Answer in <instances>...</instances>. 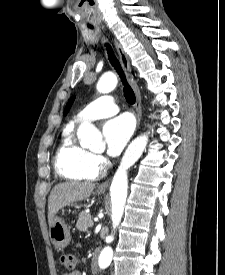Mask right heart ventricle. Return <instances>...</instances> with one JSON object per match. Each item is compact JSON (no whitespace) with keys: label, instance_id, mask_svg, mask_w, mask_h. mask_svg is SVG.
I'll return each instance as SVG.
<instances>
[{"label":"right heart ventricle","instance_id":"1","mask_svg":"<svg viewBox=\"0 0 225 275\" xmlns=\"http://www.w3.org/2000/svg\"><path fill=\"white\" fill-rule=\"evenodd\" d=\"M55 168L58 174L71 180H93L99 173L92 153L76 143L72 133L65 135L57 149Z\"/></svg>","mask_w":225,"mask_h":275}]
</instances>
